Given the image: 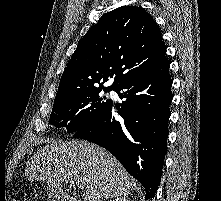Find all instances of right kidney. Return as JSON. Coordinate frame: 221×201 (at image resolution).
<instances>
[{"label": "right kidney", "instance_id": "ca27d5eb", "mask_svg": "<svg viewBox=\"0 0 221 201\" xmlns=\"http://www.w3.org/2000/svg\"><path fill=\"white\" fill-rule=\"evenodd\" d=\"M113 201H129V200L126 199L125 197H118V198L114 199Z\"/></svg>", "mask_w": 221, "mask_h": 201}]
</instances>
